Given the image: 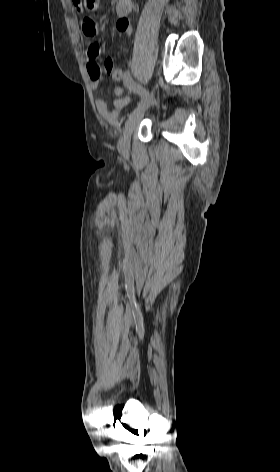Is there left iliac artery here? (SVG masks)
Here are the masks:
<instances>
[{
  "instance_id": "left-iliac-artery-1",
  "label": "left iliac artery",
  "mask_w": 280,
  "mask_h": 472,
  "mask_svg": "<svg viewBox=\"0 0 280 472\" xmlns=\"http://www.w3.org/2000/svg\"><path fill=\"white\" fill-rule=\"evenodd\" d=\"M123 83L125 88L134 92L135 94L141 97L140 102L138 103L137 107L133 110V113L139 109H142L148 105V91L141 86H139L131 77L130 71L126 70L123 73Z\"/></svg>"
}]
</instances>
